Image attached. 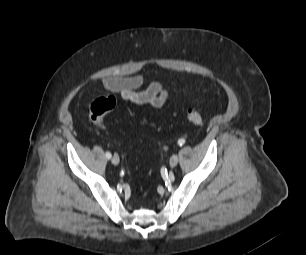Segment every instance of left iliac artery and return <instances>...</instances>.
Segmentation results:
<instances>
[{
	"label": "left iliac artery",
	"instance_id": "obj_1",
	"mask_svg": "<svg viewBox=\"0 0 306 255\" xmlns=\"http://www.w3.org/2000/svg\"><path fill=\"white\" fill-rule=\"evenodd\" d=\"M184 144H185V139L181 138V139L178 140V145L179 146H182Z\"/></svg>",
	"mask_w": 306,
	"mask_h": 255
}]
</instances>
